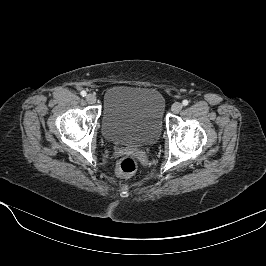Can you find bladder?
I'll list each match as a JSON object with an SVG mask.
<instances>
[{"label": "bladder", "instance_id": "31cf9c89", "mask_svg": "<svg viewBox=\"0 0 266 266\" xmlns=\"http://www.w3.org/2000/svg\"><path fill=\"white\" fill-rule=\"evenodd\" d=\"M164 111V97L155 88L113 86L103 97L102 134L116 144L152 145L160 137Z\"/></svg>", "mask_w": 266, "mask_h": 266}]
</instances>
